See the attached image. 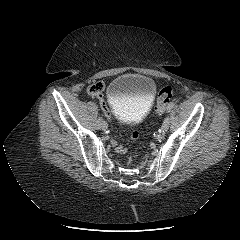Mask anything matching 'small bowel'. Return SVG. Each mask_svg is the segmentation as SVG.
<instances>
[{"label":"small bowel","mask_w":240,"mask_h":240,"mask_svg":"<svg viewBox=\"0 0 240 240\" xmlns=\"http://www.w3.org/2000/svg\"><path fill=\"white\" fill-rule=\"evenodd\" d=\"M97 97H98V102L100 103L99 107L102 110V116L104 118H106L107 123H113L114 122V117L110 113V108L108 106H106V104L104 103L105 102V95L102 92H99L97 94ZM129 139L131 141H137L139 139V132L137 130H132L129 134ZM113 145H114L115 151L117 153H125L126 150H127V148L121 143H118V142L114 141Z\"/></svg>","instance_id":"c3829d8e"}]
</instances>
